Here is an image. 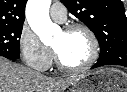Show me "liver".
I'll return each mask as SVG.
<instances>
[{"label": "liver", "instance_id": "6515ba94", "mask_svg": "<svg viewBox=\"0 0 127 92\" xmlns=\"http://www.w3.org/2000/svg\"><path fill=\"white\" fill-rule=\"evenodd\" d=\"M76 77H46L0 57V92H64Z\"/></svg>", "mask_w": 127, "mask_h": 92}]
</instances>
